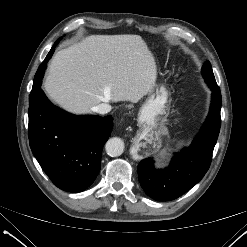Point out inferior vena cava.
<instances>
[{"label": "inferior vena cava", "mask_w": 247, "mask_h": 247, "mask_svg": "<svg viewBox=\"0 0 247 247\" xmlns=\"http://www.w3.org/2000/svg\"><path fill=\"white\" fill-rule=\"evenodd\" d=\"M93 111L97 112L99 114H107L108 112L111 111V106L106 103H101L95 107H93Z\"/></svg>", "instance_id": "obj_1"}]
</instances>
